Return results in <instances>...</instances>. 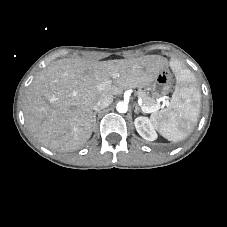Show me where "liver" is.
<instances>
[{"mask_svg": "<svg viewBox=\"0 0 227 227\" xmlns=\"http://www.w3.org/2000/svg\"><path fill=\"white\" fill-rule=\"evenodd\" d=\"M167 67V59L157 55L100 62L59 59L43 69L25 91L26 126L51 150H77L92 135L93 106L102 96L148 86ZM106 81L111 82L99 90L98 85Z\"/></svg>", "mask_w": 227, "mask_h": 227, "instance_id": "obj_1", "label": "liver"}]
</instances>
